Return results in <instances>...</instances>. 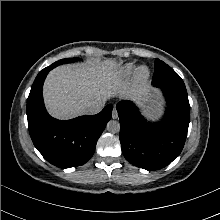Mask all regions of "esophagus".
<instances>
[{"label": "esophagus", "mask_w": 220, "mask_h": 220, "mask_svg": "<svg viewBox=\"0 0 220 220\" xmlns=\"http://www.w3.org/2000/svg\"><path fill=\"white\" fill-rule=\"evenodd\" d=\"M112 118L113 119H117L118 118V112L116 110V107H114L113 111H112Z\"/></svg>", "instance_id": "esophagus-1"}]
</instances>
